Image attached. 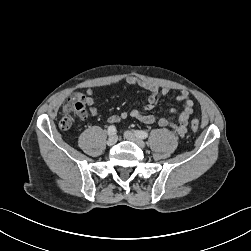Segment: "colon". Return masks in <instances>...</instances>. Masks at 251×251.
I'll return each mask as SVG.
<instances>
[{"mask_svg":"<svg viewBox=\"0 0 251 251\" xmlns=\"http://www.w3.org/2000/svg\"><path fill=\"white\" fill-rule=\"evenodd\" d=\"M71 114H74L79 119H84L86 117V110L84 108V101L82 95H73L63 108V117L61 118L59 123L62 129L66 130L71 127ZM190 126L193 131H198L200 128V121L198 119H193L190 123Z\"/></svg>","mask_w":251,"mask_h":251,"instance_id":"obj_1","label":"colon"}]
</instances>
